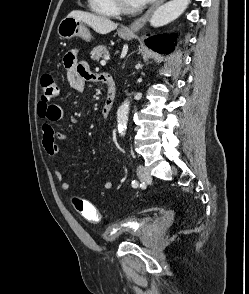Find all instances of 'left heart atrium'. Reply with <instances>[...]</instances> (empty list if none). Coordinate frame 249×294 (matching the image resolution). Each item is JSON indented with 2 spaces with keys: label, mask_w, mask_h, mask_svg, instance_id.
Segmentation results:
<instances>
[{
  "label": "left heart atrium",
  "mask_w": 249,
  "mask_h": 294,
  "mask_svg": "<svg viewBox=\"0 0 249 294\" xmlns=\"http://www.w3.org/2000/svg\"><path fill=\"white\" fill-rule=\"evenodd\" d=\"M150 1L151 0H132L133 4L135 6H143V5L147 4Z\"/></svg>",
  "instance_id": "left-heart-atrium-1"
}]
</instances>
